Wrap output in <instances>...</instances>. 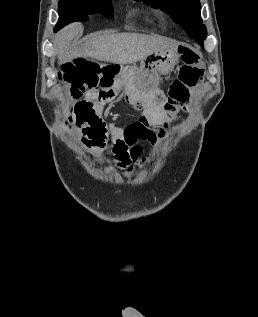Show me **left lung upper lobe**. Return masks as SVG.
Instances as JSON below:
<instances>
[{"label":"left lung upper lobe","instance_id":"1","mask_svg":"<svg viewBox=\"0 0 258 317\" xmlns=\"http://www.w3.org/2000/svg\"><path fill=\"white\" fill-rule=\"evenodd\" d=\"M141 1V0H136ZM155 8L170 13L176 22L184 28L190 38L205 39L207 30L200 16L199 0H143Z\"/></svg>","mask_w":258,"mask_h":317}]
</instances>
